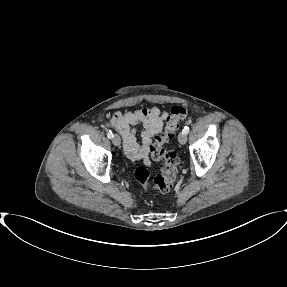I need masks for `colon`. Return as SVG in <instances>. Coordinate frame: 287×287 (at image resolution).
Segmentation results:
<instances>
[{
  "mask_svg": "<svg viewBox=\"0 0 287 287\" xmlns=\"http://www.w3.org/2000/svg\"><path fill=\"white\" fill-rule=\"evenodd\" d=\"M189 114V109L183 105H175L171 108L170 114L165 119L164 129L154 137L150 146L153 159L162 162L160 174L154 177L150 185L151 172L148 166L142 165L135 171V178L143 187L151 186L162 193L172 189L178 173L179 157L175 151L168 150L165 145L175 136L180 124L188 118Z\"/></svg>",
  "mask_w": 287,
  "mask_h": 287,
  "instance_id": "5ec220e1",
  "label": "colon"
}]
</instances>
